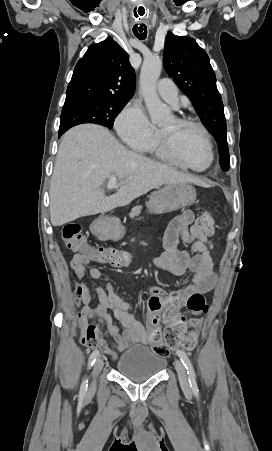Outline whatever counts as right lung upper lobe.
<instances>
[{
	"instance_id": "1",
	"label": "right lung upper lobe",
	"mask_w": 272,
	"mask_h": 451,
	"mask_svg": "<svg viewBox=\"0 0 272 451\" xmlns=\"http://www.w3.org/2000/svg\"><path fill=\"white\" fill-rule=\"evenodd\" d=\"M128 59V54L112 38L89 46L75 66L65 101L131 99L135 91V74Z\"/></svg>"
}]
</instances>
